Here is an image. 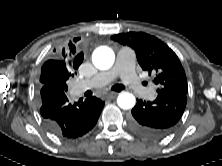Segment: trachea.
Here are the masks:
<instances>
[{
    "instance_id": "obj_1",
    "label": "trachea",
    "mask_w": 222,
    "mask_h": 166,
    "mask_svg": "<svg viewBox=\"0 0 222 166\" xmlns=\"http://www.w3.org/2000/svg\"><path fill=\"white\" fill-rule=\"evenodd\" d=\"M124 88H125V86H123V85H121V84H117V85H114L111 89H112L113 91L119 92V91L123 90Z\"/></svg>"
}]
</instances>
